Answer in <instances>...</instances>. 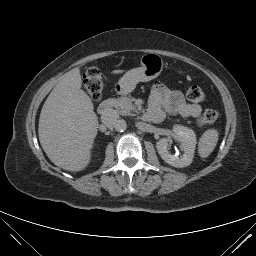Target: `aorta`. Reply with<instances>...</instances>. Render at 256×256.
Instances as JSON below:
<instances>
[{
	"label": "aorta",
	"instance_id": "obj_1",
	"mask_svg": "<svg viewBox=\"0 0 256 256\" xmlns=\"http://www.w3.org/2000/svg\"><path fill=\"white\" fill-rule=\"evenodd\" d=\"M126 128H127V123L123 119L119 120L115 126V129L118 131H124Z\"/></svg>",
	"mask_w": 256,
	"mask_h": 256
}]
</instances>
